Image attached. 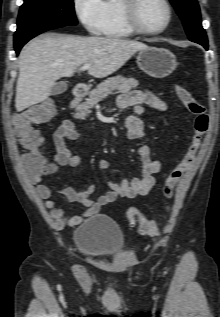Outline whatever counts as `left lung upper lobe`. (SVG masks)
I'll list each match as a JSON object with an SVG mask.
<instances>
[{"instance_id": "5c2ea615", "label": "left lung upper lobe", "mask_w": 220, "mask_h": 317, "mask_svg": "<svg viewBox=\"0 0 220 317\" xmlns=\"http://www.w3.org/2000/svg\"><path fill=\"white\" fill-rule=\"evenodd\" d=\"M181 17L186 33L194 42H207L205 30L201 25L200 9L197 0H170Z\"/></svg>"}]
</instances>
